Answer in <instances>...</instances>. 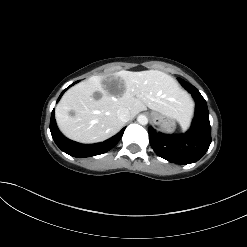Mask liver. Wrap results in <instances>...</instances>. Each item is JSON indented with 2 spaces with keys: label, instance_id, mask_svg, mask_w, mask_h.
Segmentation results:
<instances>
[{
  "label": "liver",
  "instance_id": "6515ba94",
  "mask_svg": "<svg viewBox=\"0 0 247 247\" xmlns=\"http://www.w3.org/2000/svg\"><path fill=\"white\" fill-rule=\"evenodd\" d=\"M95 92L101 94L99 99L93 97ZM147 107L187 128L193 102L176 80L164 72L122 70L106 76H91L70 88L58 103L55 118L69 139L96 143L110 138L123 127L124 122L117 117L118 109L127 108L132 118ZM70 111L75 114L69 115Z\"/></svg>",
  "mask_w": 247,
  "mask_h": 247
}]
</instances>
